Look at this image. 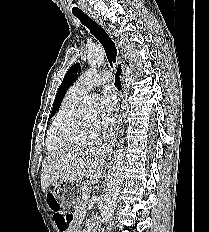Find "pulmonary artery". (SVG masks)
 Instances as JSON below:
<instances>
[{"instance_id": "obj_1", "label": "pulmonary artery", "mask_w": 209, "mask_h": 232, "mask_svg": "<svg viewBox=\"0 0 209 232\" xmlns=\"http://www.w3.org/2000/svg\"><path fill=\"white\" fill-rule=\"evenodd\" d=\"M110 79V72L99 73L96 69L91 68L77 79L69 91L73 96L83 98L93 87L106 84Z\"/></svg>"}]
</instances>
